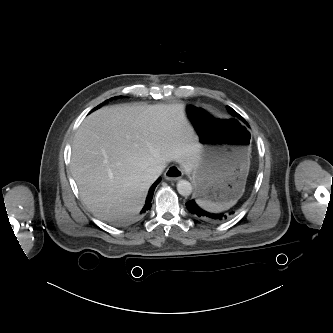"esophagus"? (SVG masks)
Wrapping results in <instances>:
<instances>
[{"mask_svg": "<svg viewBox=\"0 0 333 333\" xmlns=\"http://www.w3.org/2000/svg\"><path fill=\"white\" fill-rule=\"evenodd\" d=\"M183 170L179 167L171 166L165 172V179L168 181H176L183 175Z\"/></svg>", "mask_w": 333, "mask_h": 333, "instance_id": "34e87169", "label": "esophagus"}]
</instances>
